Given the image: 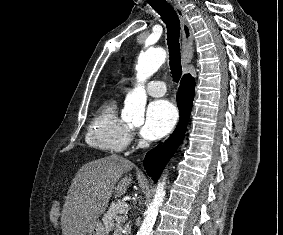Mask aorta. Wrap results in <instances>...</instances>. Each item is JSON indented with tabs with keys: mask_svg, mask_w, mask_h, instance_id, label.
Masks as SVG:
<instances>
[{
	"mask_svg": "<svg viewBox=\"0 0 283 235\" xmlns=\"http://www.w3.org/2000/svg\"><path fill=\"white\" fill-rule=\"evenodd\" d=\"M166 60V51L162 48L149 49L138 57L136 66L138 82L143 83L152 76ZM147 96L143 86L135 88L127 97L122 111V119L129 122H142ZM165 180L158 182L153 200L149 204L146 216L137 232V235H151L156 221L159 207L162 205L166 191Z\"/></svg>",
	"mask_w": 283,
	"mask_h": 235,
	"instance_id": "1",
	"label": "aorta"
}]
</instances>
